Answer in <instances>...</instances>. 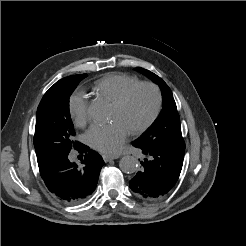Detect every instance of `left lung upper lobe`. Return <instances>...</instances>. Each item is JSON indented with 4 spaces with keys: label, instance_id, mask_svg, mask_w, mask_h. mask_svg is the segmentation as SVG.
<instances>
[{
    "label": "left lung upper lobe",
    "instance_id": "1",
    "mask_svg": "<svg viewBox=\"0 0 246 246\" xmlns=\"http://www.w3.org/2000/svg\"><path fill=\"white\" fill-rule=\"evenodd\" d=\"M137 70L159 85L162 91L163 108L150 129L134 142L145 146L158 145L185 150L180 117L170 88L160 77L151 71L143 68H137Z\"/></svg>",
    "mask_w": 246,
    "mask_h": 246
}]
</instances>
